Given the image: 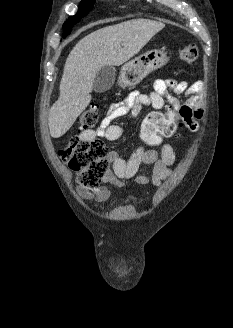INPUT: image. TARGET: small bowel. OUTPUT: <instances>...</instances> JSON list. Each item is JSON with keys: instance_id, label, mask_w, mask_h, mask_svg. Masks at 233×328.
<instances>
[{"instance_id": "obj_1", "label": "small bowel", "mask_w": 233, "mask_h": 328, "mask_svg": "<svg viewBox=\"0 0 233 328\" xmlns=\"http://www.w3.org/2000/svg\"><path fill=\"white\" fill-rule=\"evenodd\" d=\"M202 86L201 81L188 84L186 81L158 79L154 82L153 90L150 93L144 94L133 91L124 100L113 103L100 126L96 130H84L79 137L83 140L104 137L109 141H115L123 133L121 126L113 124L115 119L128 114L137 116L144 106H151L160 110L166 105L171 107V111L180 115L183 124L190 131L195 132L199 128V120L203 115L201 109ZM168 90L187 95V101L180 104L168 93ZM108 159L113 164V169L104 178L106 184L121 187L125 181L134 180L141 185L152 183L155 186H160L171 175V166L175 162V152L170 144L163 143L158 150L139 147L128 159H124L112 151L109 153ZM142 165L152 166L150 177L140 172ZM77 192L82 199L91 200L95 203L104 202L110 197V191L106 186L94 191L79 187ZM119 267L120 270L124 269L123 265Z\"/></svg>"}]
</instances>
